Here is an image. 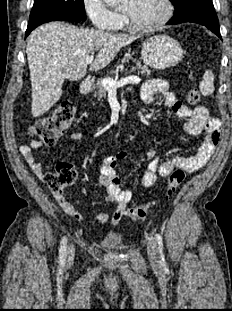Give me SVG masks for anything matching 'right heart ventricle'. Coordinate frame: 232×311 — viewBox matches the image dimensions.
Wrapping results in <instances>:
<instances>
[{"label": "right heart ventricle", "instance_id": "e07e8e85", "mask_svg": "<svg viewBox=\"0 0 232 311\" xmlns=\"http://www.w3.org/2000/svg\"><path fill=\"white\" fill-rule=\"evenodd\" d=\"M124 26H125V21H124V19L122 18L115 30L123 29Z\"/></svg>", "mask_w": 232, "mask_h": 311}]
</instances>
